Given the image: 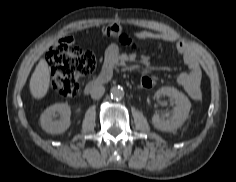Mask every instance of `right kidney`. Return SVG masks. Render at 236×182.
<instances>
[{
  "label": "right kidney",
  "instance_id": "ca27d5eb",
  "mask_svg": "<svg viewBox=\"0 0 236 182\" xmlns=\"http://www.w3.org/2000/svg\"><path fill=\"white\" fill-rule=\"evenodd\" d=\"M70 106L66 103H57L48 107L40 117V124L44 131L50 134L65 132L70 126ZM59 119L53 120V117Z\"/></svg>",
  "mask_w": 236,
  "mask_h": 182
}]
</instances>
